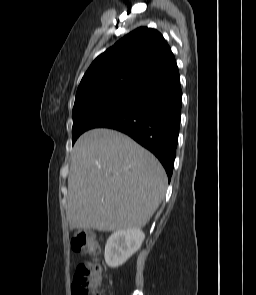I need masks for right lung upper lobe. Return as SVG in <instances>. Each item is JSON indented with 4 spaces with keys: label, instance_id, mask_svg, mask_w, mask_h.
<instances>
[{
    "label": "right lung upper lobe",
    "instance_id": "cb5924a9",
    "mask_svg": "<svg viewBox=\"0 0 256 295\" xmlns=\"http://www.w3.org/2000/svg\"><path fill=\"white\" fill-rule=\"evenodd\" d=\"M174 60L161 33L137 28L93 61L80 82L75 102L91 104L137 92Z\"/></svg>",
    "mask_w": 256,
    "mask_h": 295
}]
</instances>
